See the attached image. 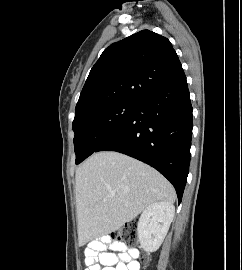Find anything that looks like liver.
<instances>
[{
	"instance_id": "obj_1",
	"label": "liver",
	"mask_w": 242,
	"mask_h": 270,
	"mask_svg": "<svg viewBox=\"0 0 242 270\" xmlns=\"http://www.w3.org/2000/svg\"><path fill=\"white\" fill-rule=\"evenodd\" d=\"M79 245L108 235L155 202L173 203V186L155 169L113 151L91 155L76 170Z\"/></svg>"
}]
</instances>
